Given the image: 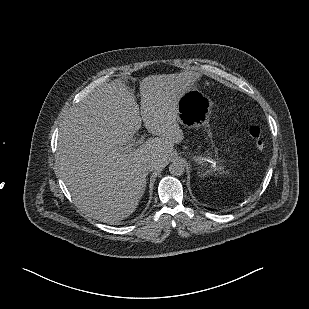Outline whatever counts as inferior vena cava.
<instances>
[{
    "label": "inferior vena cava",
    "mask_w": 309,
    "mask_h": 309,
    "mask_svg": "<svg viewBox=\"0 0 309 309\" xmlns=\"http://www.w3.org/2000/svg\"><path fill=\"white\" fill-rule=\"evenodd\" d=\"M162 166H163V165L157 166V165H155V164H151V165L148 166L147 168H148L149 171H152V170H155V169H157V168H161Z\"/></svg>",
    "instance_id": "obj_1"
}]
</instances>
